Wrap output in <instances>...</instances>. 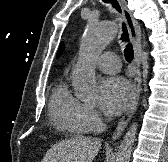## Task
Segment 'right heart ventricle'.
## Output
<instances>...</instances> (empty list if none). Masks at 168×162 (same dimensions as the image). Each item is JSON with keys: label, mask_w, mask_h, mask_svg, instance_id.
<instances>
[{"label": "right heart ventricle", "mask_w": 168, "mask_h": 162, "mask_svg": "<svg viewBox=\"0 0 168 162\" xmlns=\"http://www.w3.org/2000/svg\"><path fill=\"white\" fill-rule=\"evenodd\" d=\"M83 103L73 96L65 80L55 86L49 102V113L53 123L71 135H84L89 128L83 121Z\"/></svg>", "instance_id": "1"}]
</instances>
